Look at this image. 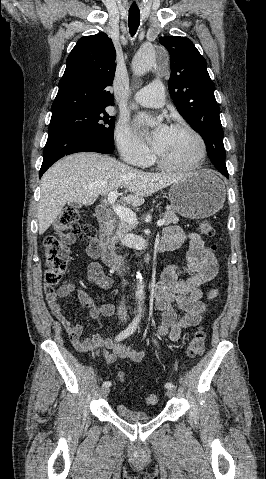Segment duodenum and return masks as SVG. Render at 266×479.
I'll list each match as a JSON object with an SVG mask.
<instances>
[{"label":"duodenum","instance_id":"obj_1","mask_svg":"<svg viewBox=\"0 0 266 479\" xmlns=\"http://www.w3.org/2000/svg\"><path fill=\"white\" fill-rule=\"evenodd\" d=\"M96 217L101 225V234L96 243L90 246V253L93 257L100 258L110 268L121 271L126 266V259L117 254L110 246L108 230L112 224V213L105 205H100L96 208ZM164 248L159 244L158 252L163 251ZM151 260V255H146L142 261L141 267H145Z\"/></svg>","mask_w":266,"mask_h":479}]
</instances>
